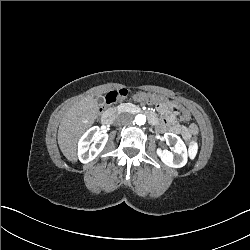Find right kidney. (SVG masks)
Wrapping results in <instances>:
<instances>
[{"label":"right kidney","mask_w":250,"mask_h":250,"mask_svg":"<svg viewBox=\"0 0 250 250\" xmlns=\"http://www.w3.org/2000/svg\"><path fill=\"white\" fill-rule=\"evenodd\" d=\"M89 140L93 141L91 145ZM107 140L108 135L102 134L98 126L89 128L78 140L77 156L79 161L88 163L93 160L103 150Z\"/></svg>","instance_id":"obj_1"}]
</instances>
